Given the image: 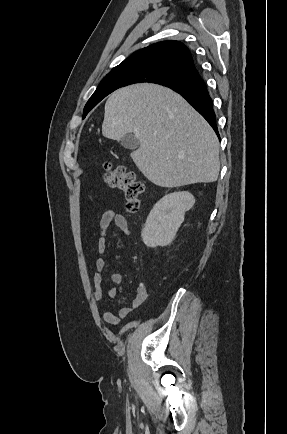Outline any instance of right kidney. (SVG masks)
<instances>
[{"instance_id":"1","label":"right kidney","mask_w":287,"mask_h":434,"mask_svg":"<svg viewBox=\"0 0 287 434\" xmlns=\"http://www.w3.org/2000/svg\"><path fill=\"white\" fill-rule=\"evenodd\" d=\"M195 203L194 196L188 191L174 192L161 198L147 217L141 237L150 248L167 246L184 221L185 212Z\"/></svg>"}]
</instances>
